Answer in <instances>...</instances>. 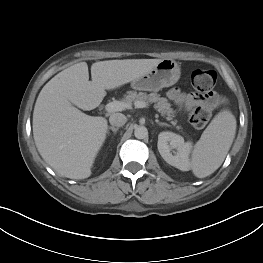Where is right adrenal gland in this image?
I'll return each mask as SVG.
<instances>
[{"mask_svg": "<svg viewBox=\"0 0 263 263\" xmlns=\"http://www.w3.org/2000/svg\"><path fill=\"white\" fill-rule=\"evenodd\" d=\"M119 128H115L114 126H111L108 128L107 133H109V130H111L114 134L118 131Z\"/></svg>", "mask_w": 263, "mask_h": 263, "instance_id": "right-adrenal-gland-1", "label": "right adrenal gland"}]
</instances>
